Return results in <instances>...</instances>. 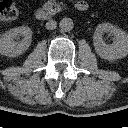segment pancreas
<instances>
[{
    "label": "pancreas",
    "instance_id": "1",
    "mask_svg": "<svg viewBox=\"0 0 128 128\" xmlns=\"http://www.w3.org/2000/svg\"><path fill=\"white\" fill-rule=\"evenodd\" d=\"M65 6L63 2L57 3L56 0H49L46 3V7L52 9L53 13L59 12Z\"/></svg>",
    "mask_w": 128,
    "mask_h": 128
}]
</instances>
